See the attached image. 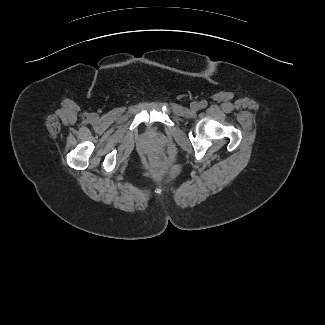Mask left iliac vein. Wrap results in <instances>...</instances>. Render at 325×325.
<instances>
[{"label": "left iliac vein", "mask_w": 325, "mask_h": 325, "mask_svg": "<svg viewBox=\"0 0 325 325\" xmlns=\"http://www.w3.org/2000/svg\"><path fill=\"white\" fill-rule=\"evenodd\" d=\"M191 108H192L193 110H198V109H199V104L196 103V102H193V103L191 104Z\"/></svg>", "instance_id": "obj_1"}]
</instances>
